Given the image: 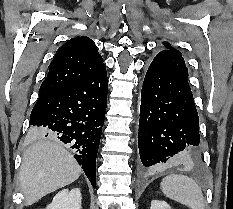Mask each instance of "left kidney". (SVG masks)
I'll return each mask as SVG.
<instances>
[{
  "label": "left kidney",
  "mask_w": 233,
  "mask_h": 209,
  "mask_svg": "<svg viewBox=\"0 0 233 209\" xmlns=\"http://www.w3.org/2000/svg\"><path fill=\"white\" fill-rule=\"evenodd\" d=\"M150 209H172L165 201L152 200Z\"/></svg>",
  "instance_id": "obj_1"
}]
</instances>
